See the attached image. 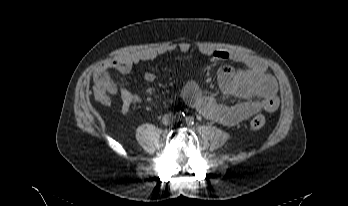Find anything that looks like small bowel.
<instances>
[{
  "label": "small bowel",
  "mask_w": 348,
  "mask_h": 206,
  "mask_svg": "<svg viewBox=\"0 0 348 206\" xmlns=\"http://www.w3.org/2000/svg\"><path fill=\"white\" fill-rule=\"evenodd\" d=\"M190 48L191 46L188 43H181L177 47L182 53L188 52ZM173 50L174 48L136 51L109 60L103 64L102 68H113L121 74H128L137 63L153 60ZM199 52L216 62L231 59L242 65L241 68L225 65L218 75V84L224 93L243 99L238 104L227 105L219 102L212 96L205 94L195 81H189L183 86L181 95L186 97L188 102L205 117L231 127L257 112L272 113L278 109V85L275 78L268 73L264 63L247 54L230 53L222 49L200 47ZM144 78L147 82H153L156 76L152 72H146ZM114 93H118L120 96L123 116H127L130 108L141 101L139 95L132 93L123 86L117 87L115 85L112 90H109L95 82L94 97L101 104L110 106L112 104L110 94Z\"/></svg>",
  "instance_id": "small-bowel-1"
}]
</instances>
